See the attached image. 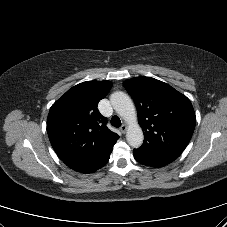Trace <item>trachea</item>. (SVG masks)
Returning <instances> with one entry per match:
<instances>
[{"mask_svg": "<svg viewBox=\"0 0 227 227\" xmlns=\"http://www.w3.org/2000/svg\"><path fill=\"white\" fill-rule=\"evenodd\" d=\"M111 125L114 127H120L121 126V120L118 116H113L111 118Z\"/></svg>", "mask_w": 227, "mask_h": 227, "instance_id": "trachea-1", "label": "trachea"}]
</instances>
